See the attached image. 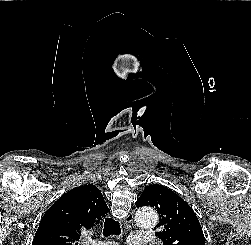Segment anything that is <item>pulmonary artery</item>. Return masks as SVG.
Wrapping results in <instances>:
<instances>
[{"mask_svg":"<svg viewBox=\"0 0 251 245\" xmlns=\"http://www.w3.org/2000/svg\"><path fill=\"white\" fill-rule=\"evenodd\" d=\"M150 236L141 232H132L128 236L129 245H147L149 244ZM92 245H117L115 242H94Z\"/></svg>","mask_w":251,"mask_h":245,"instance_id":"pulmonary-artery-1","label":"pulmonary artery"}]
</instances>
